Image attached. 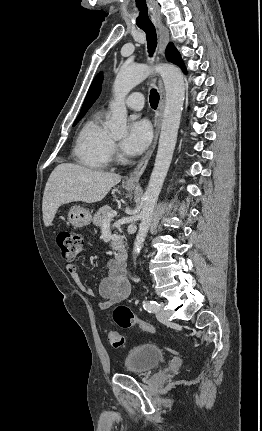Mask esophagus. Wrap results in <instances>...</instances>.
<instances>
[{
  "instance_id": "esophagus-1",
  "label": "esophagus",
  "mask_w": 262,
  "mask_h": 431,
  "mask_svg": "<svg viewBox=\"0 0 262 431\" xmlns=\"http://www.w3.org/2000/svg\"><path fill=\"white\" fill-rule=\"evenodd\" d=\"M157 27H158L159 36H160V52L163 54L169 42V31L165 26L161 24H158ZM159 86H160V102L155 116L156 119H155L154 139L150 149L145 153V155L139 161V163L132 171V173L126 178L125 183L127 186H139V179L142 176L143 172L145 171L157 144L158 136L160 133L163 110H164L165 93L163 89L162 80H159Z\"/></svg>"
}]
</instances>
